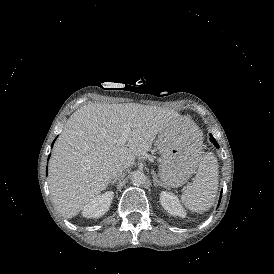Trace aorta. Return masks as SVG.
<instances>
[{"instance_id": "762f6f07", "label": "aorta", "mask_w": 274, "mask_h": 274, "mask_svg": "<svg viewBox=\"0 0 274 274\" xmlns=\"http://www.w3.org/2000/svg\"><path fill=\"white\" fill-rule=\"evenodd\" d=\"M131 182L137 186L142 185L146 182V176L139 170L134 171L131 175Z\"/></svg>"}]
</instances>
